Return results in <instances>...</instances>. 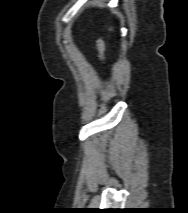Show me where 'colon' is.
I'll use <instances>...</instances> for the list:
<instances>
[{
  "instance_id": "1",
  "label": "colon",
  "mask_w": 188,
  "mask_h": 213,
  "mask_svg": "<svg viewBox=\"0 0 188 213\" xmlns=\"http://www.w3.org/2000/svg\"><path fill=\"white\" fill-rule=\"evenodd\" d=\"M98 49H99V52H100L101 54L104 53L105 44H104V42H103L102 40H99V41H98Z\"/></svg>"
}]
</instances>
